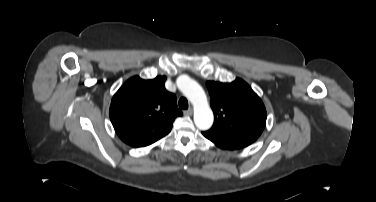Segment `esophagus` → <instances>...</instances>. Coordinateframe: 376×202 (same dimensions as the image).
Segmentation results:
<instances>
[{"label":"esophagus","instance_id":"obj_1","mask_svg":"<svg viewBox=\"0 0 376 202\" xmlns=\"http://www.w3.org/2000/svg\"><path fill=\"white\" fill-rule=\"evenodd\" d=\"M192 113H193L192 109H187L184 111V115H187V116L192 115Z\"/></svg>","mask_w":376,"mask_h":202}]
</instances>
